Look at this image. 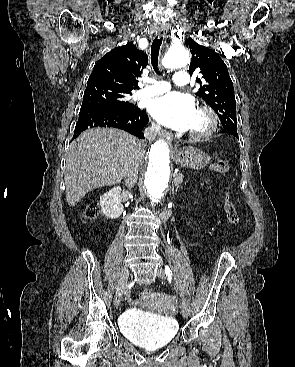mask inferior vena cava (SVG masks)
Here are the masks:
<instances>
[{"label": "inferior vena cava", "instance_id": "obj_1", "mask_svg": "<svg viewBox=\"0 0 295 367\" xmlns=\"http://www.w3.org/2000/svg\"><path fill=\"white\" fill-rule=\"evenodd\" d=\"M159 131H160V127L158 125H152L145 130L144 136L149 141L154 140L157 134L159 133ZM138 167L139 165L135 162L131 164L130 166H128L125 170V184L129 189H131L134 186V184L137 182Z\"/></svg>", "mask_w": 295, "mask_h": 367}]
</instances>
